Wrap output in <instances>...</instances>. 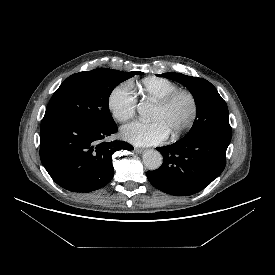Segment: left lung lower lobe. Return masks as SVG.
Wrapping results in <instances>:
<instances>
[{
    "label": "left lung lower lobe",
    "mask_w": 275,
    "mask_h": 275,
    "mask_svg": "<svg viewBox=\"0 0 275 275\" xmlns=\"http://www.w3.org/2000/svg\"><path fill=\"white\" fill-rule=\"evenodd\" d=\"M230 141L207 138L181 139L158 147L163 164L147 172L149 182L162 192L189 196L207 187L225 168Z\"/></svg>",
    "instance_id": "1"
}]
</instances>
